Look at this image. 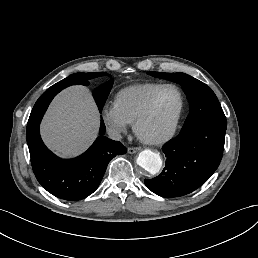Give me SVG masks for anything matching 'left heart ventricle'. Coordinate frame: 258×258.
<instances>
[{
	"instance_id": "obj_1",
	"label": "left heart ventricle",
	"mask_w": 258,
	"mask_h": 258,
	"mask_svg": "<svg viewBox=\"0 0 258 258\" xmlns=\"http://www.w3.org/2000/svg\"><path fill=\"white\" fill-rule=\"evenodd\" d=\"M178 111L177 93L170 88L158 92L148 115L140 123V131L148 137H159L167 133Z\"/></svg>"
}]
</instances>
